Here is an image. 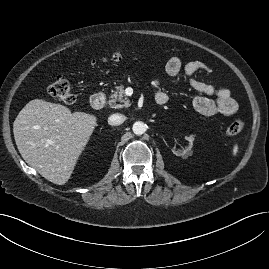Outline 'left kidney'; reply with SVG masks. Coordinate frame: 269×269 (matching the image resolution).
Listing matches in <instances>:
<instances>
[{"label":"left kidney","mask_w":269,"mask_h":269,"mask_svg":"<svg viewBox=\"0 0 269 269\" xmlns=\"http://www.w3.org/2000/svg\"><path fill=\"white\" fill-rule=\"evenodd\" d=\"M194 139H195L194 135L186 137L185 140L187 141V145L183 149L174 147L172 149V152L176 156H181L182 158L187 159L191 155V148L193 146Z\"/></svg>","instance_id":"1"}]
</instances>
